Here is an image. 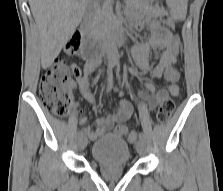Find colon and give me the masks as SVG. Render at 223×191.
<instances>
[{"instance_id":"obj_1","label":"colon","mask_w":223,"mask_h":191,"mask_svg":"<svg viewBox=\"0 0 223 191\" xmlns=\"http://www.w3.org/2000/svg\"><path fill=\"white\" fill-rule=\"evenodd\" d=\"M168 27H173V20L169 17L164 18ZM81 36L75 34L65 45V51L69 54L75 53L80 47ZM172 69V66H169ZM71 73L79 78L82 70L78 66H73L71 71L63 59H56L53 64L43 74L40 85L39 95L44 106L58 117L66 116L72 106V96L70 92ZM175 103L171 98H165L156 111L155 119L158 123L166 122L172 115ZM116 134L127 136L129 142L135 143L136 134L129 131L124 126L116 128Z\"/></svg>"}]
</instances>
